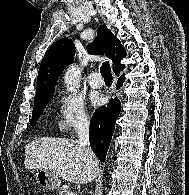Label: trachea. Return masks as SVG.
Instances as JSON below:
<instances>
[{"label":"trachea","instance_id":"trachea-1","mask_svg":"<svg viewBox=\"0 0 189 195\" xmlns=\"http://www.w3.org/2000/svg\"><path fill=\"white\" fill-rule=\"evenodd\" d=\"M100 73L105 81H112L111 67L108 61L104 62L100 68Z\"/></svg>","mask_w":189,"mask_h":195}]
</instances>
